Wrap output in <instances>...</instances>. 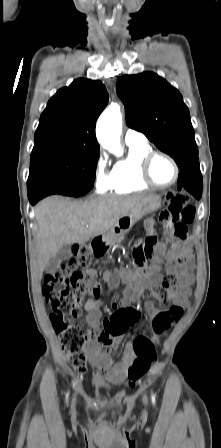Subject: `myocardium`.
Wrapping results in <instances>:
<instances>
[{
    "label": "myocardium",
    "instance_id": "1",
    "mask_svg": "<svg viewBox=\"0 0 221 448\" xmlns=\"http://www.w3.org/2000/svg\"><path fill=\"white\" fill-rule=\"evenodd\" d=\"M159 156H163L166 159H168L175 169V177L168 184H160L152 176L151 169H152L153 161ZM180 172H181L180 166H179L178 162L174 159V157H172L170 154L163 152V151H151L141 161L142 180L146 184H148L152 187L158 188V189H165V188H169V187L175 185L180 177Z\"/></svg>",
    "mask_w": 221,
    "mask_h": 448
}]
</instances>
